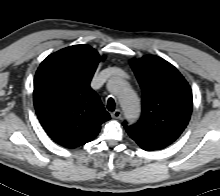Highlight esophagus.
<instances>
[{"label":"esophagus","mask_w":220,"mask_h":196,"mask_svg":"<svg viewBox=\"0 0 220 196\" xmlns=\"http://www.w3.org/2000/svg\"><path fill=\"white\" fill-rule=\"evenodd\" d=\"M122 116V111L120 109L115 110L111 113V117L115 119H119Z\"/></svg>","instance_id":"34e87169"}]
</instances>
